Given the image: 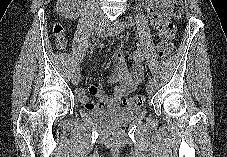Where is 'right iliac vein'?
Returning <instances> with one entry per match:
<instances>
[{
    "mask_svg": "<svg viewBox=\"0 0 227 157\" xmlns=\"http://www.w3.org/2000/svg\"><path fill=\"white\" fill-rule=\"evenodd\" d=\"M95 32H96V33H100V30H99L98 27L95 28ZM79 82H80V74H79L78 71H76V72L73 74V76H72V83H73L74 85H78Z\"/></svg>",
    "mask_w": 227,
    "mask_h": 157,
    "instance_id": "right-iliac-vein-1",
    "label": "right iliac vein"
}]
</instances>
